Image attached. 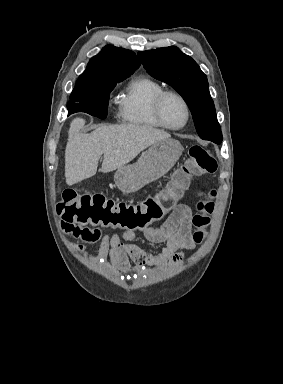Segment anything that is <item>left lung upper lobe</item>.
Wrapping results in <instances>:
<instances>
[{
	"instance_id": "5c2ea615",
	"label": "left lung upper lobe",
	"mask_w": 283,
	"mask_h": 384,
	"mask_svg": "<svg viewBox=\"0 0 283 384\" xmlns=\"http://www.w3.org/2000/svg\"><path fill=\"white\" fill-rule=\"evenodd\" d=\"M138 56L152 77L171 85L185 99L198 135L220 144L223 138L207 77L198 64L175 46L138 52Z\"/></svg>"
}]
</instances>
